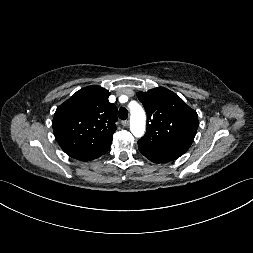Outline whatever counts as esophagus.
Returning a JSON list of instances; mask_svg holds the SVG:
<instances>
[{"instance_id": "1", "label": "esophagus", "mask_w": 253, "mask_h": 253, "mask_svg": "<svg viewBox=\"0 0 253 253\" xmlns=\"http://www.w3.org/2000/svg\"><path fill=\"white\" fill-rule=\"evenodd\" d=\"M122 125H123L124 127L129 126V121H128V120L122 121Z\"/></svg>"}]
</instances>
